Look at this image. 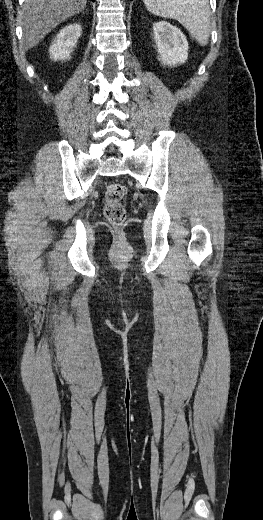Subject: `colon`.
Wrapping results in <instances>:
<instances>
[{
	"label": "colon",
	"mask_w": 263,
	"mask_h": 520,
	"mask_svg": "<svg viewBox=\"0 0 263 520\" xmlns=\"http://www.w3.org/2000/svg\"><path fill=\"white\" fill-rule=\"evenodd\" d=\"M126 187L119 182L108 185L104 199V215L106 219L116 227H120L126 220V208L123 200L126 195Z\"/></svg>",
	"instance_id": "obj_1"
}]
</instances>
